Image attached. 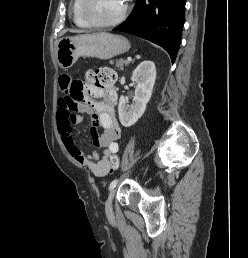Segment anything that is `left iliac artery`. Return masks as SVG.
<instances>
[{"label": "left iliac artery", "mask_w": 248, "mask_h": 258, "mask_svg": "<svg viewBox=\"0 0 248 258\" xmlns=\"http://www.w3.org/2000/svg\"><path fill=\"white\" fill-rule=\"evenodd\" d=\"M117 182H118V179H114V180L110 183L109 190L113 189V188L116 186Z\"/></svg>", "instance_id": "1"}]
</instances>
